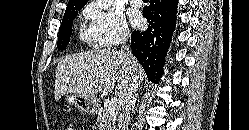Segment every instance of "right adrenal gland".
Wrapping results in <instances>:
<instances>
[{
    "instance_id": "1",
    "label": "right adrenal gland",
    "mask_w": 249,
    "mask_h": 130,
    "mask_svg": "<svg viewBox=\"0 0 249 130\" xmlns=\"http://www.w3.org/2000/svg\"><path fill=\"white\" fill-rule=\"evenodd\" d=\"M136 101V100H135ZM134 107H135V102H134V104H133V106H132V109H134Z\"/></svg>"
}]
</instances>
